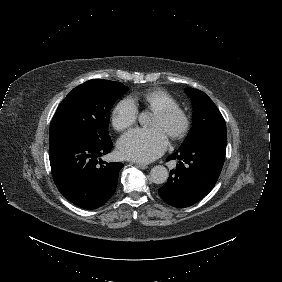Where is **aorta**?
Listing matches in <instances>:
<instances>
[{
    "instance_id": "obj_1",
    "label": "aorta",
    "mask_w": 282,
    "mask_h": 282,
    "mask_svg": "<svg viewBox=\"0 0 282 282\" xmlns=\"http://www.w3.org/2000/svg\"><path fill=\"white\" fill-rule=\"evenodd\" d=\"M139 122L142 125H148L150 122V117L146 113H142L139 116ZM168 177V170L163 165H156L150 171V179L156 184H163L167 181Z\"/></svg>"
}]
</instances>
